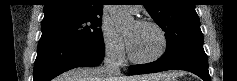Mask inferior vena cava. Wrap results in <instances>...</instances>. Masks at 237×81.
I'll return each instance as SVG.
<instances>
[{
	"mask_svg": "<svg viewBox=\"0 0 237 81\" xmlns=\"http://www.w3.org/2000/svg\"><path fill=\"white\" fill-rule=\"evenodd\" d=\"M103 73L110 78L121 75L119 63L117 61V52L112 47L106 48Z\"/></svg>",
	"mask_w": 237,
	"mask_h": 81,
	"instance_id": "inferior-vena-cava-1",
	"label": "inferior vena cava"
}]
</instances>
